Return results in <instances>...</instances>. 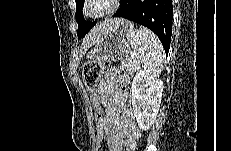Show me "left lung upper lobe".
I'll list each match as a JSON object with an SVG mask.
<instances>
[{"label": "left lung upper lobe", "mask_w": 231, "mask_h": 151, "mask_svg": "<svg viewBox=\"0 0 231 151\" xmlns=\"http://www.w3.org/2000/svg\"><path fill=\"white\" fill-rule=\"evenodd\" d=\"M131 1L133 0H121L120 6L122 7L129 6ZM75 2H76V21L78 23L77 35L78 38H81L95 25V22L91 23L89 21L84 20L83 14L81 12L84 5V0H75Z\"/></svg>", "instance_id": "left-lung-upper-lobe-1"}]
</instances>
